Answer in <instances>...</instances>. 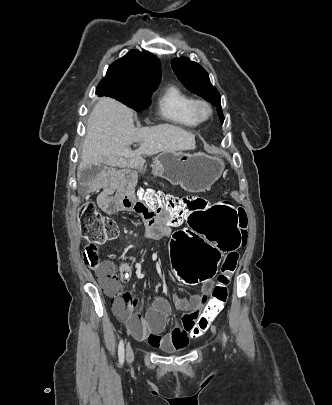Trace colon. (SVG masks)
I'll return each mask as SVG.
<instances>
[{
  "instance_id": "5ec220e1",
  "label": "colon",
  "mask_w": 332,
  "mask_h": 405,
  "mask_svg": "<svg viewBox=\"0 0 332 405\" xmlns=\"http://www.w3.org/2000/svg\"><path fill=\"white\" fill-rule=\"evenodd\" d=\"M137 189L141 212L155 211L160 217L169 214L171 220L164 221L168 223L187 222V226L181 227L168 240L169 275H174L180 287H204L221 268L212 297L200 313L196 329L190 330V337L196 341L227 301L228 286L238 262V255L234 253L241 249V228H246V215L235 202H225V199L212 202L209 211V202L202 197L156 192L150 184H139ZM78 223L89 241L83 250V260L90 267L97 268L98 243L115 235L116 226L91 202L79 206ZM242 244H245L244 238ZM103 281L105 291L114 299V309L122 316L129 315L135 301L122 290L119 278L108 271L103 274Z\"/></svg>"
}]
</instances>
